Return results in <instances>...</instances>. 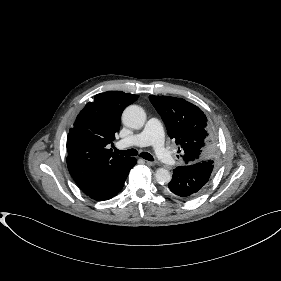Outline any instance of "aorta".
Segmentation results:
<instances>
[{
	"instance_id": "762f6f07",
	"label": "aorta",
	"mask_w": 281,
	"mask_h": 281,
	"mask_svg": "<svg viewBox=\"0 0 281 281\" xmlns=\"http://www.w3.org/2000/svg\"><path fill=\"white\" fill-rule=\"evenodd\" d=\"M123 123L133 129H140L146 121L145 111L138 105L128 106L122 114ZM171 173L164 168L155 172V179L159 184H168L171 181Z\"/></svg>"
}]
</instances>
